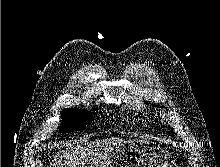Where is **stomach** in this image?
<instances>
[{"label":"stomach","instance_id":"1","mask_svg":"<svg viewBox=\"0 0 220 167\" xmlns=\"http://www.w3.org/2000/svg\"><path fill=\"white\" fill-rule=\"evenodd\" d=\"M110 167H169V165L160 145L137 141L121 146Z\"/></svg>","mask_w":220,"mask_h":167}]
</instances>
